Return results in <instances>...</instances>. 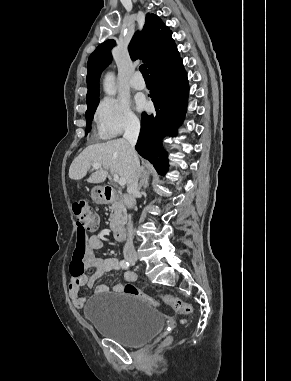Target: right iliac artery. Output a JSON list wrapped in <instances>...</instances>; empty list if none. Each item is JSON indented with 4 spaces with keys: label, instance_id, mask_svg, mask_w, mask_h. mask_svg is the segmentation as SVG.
I'll return each instance as SVG.
<instances>
[{
    "label": "right iliac artery",
    "instance_id": "obj_1",
    "mask_svg": "<svg viewBox=\"0 0 291 381\" xmlns=\"http://www.w3.org/2000/svg\"><path fill=\"white\" fill-rule=\"evenodd\" d=\"M120 266H121L123 269H128L129 266H130V264H129V262L126 261V260H121V262H120Z\"/></svg>",
    "mask_w": 291,
    "mask_h": 381
}]
</instances>
